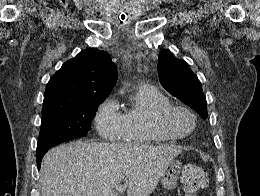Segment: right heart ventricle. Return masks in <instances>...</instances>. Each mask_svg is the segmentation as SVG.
Listing matches in <instances>:
<instances>
[{
  "label": "right heart ventricle",
  "mask_w": 260,
  "mask_h": 196,
  "mask_svg": "<svg viewBox=\"0 0 260 196\" xmlns=\"http://www.w3.org/2000/svg\"><path fill=\"white\" fill-rule=\"evenodd\" d=\"M170 104L169 98L158 88L138 83L128 94V99L122 111L123 129L135 130L132 138H124L119 143H159L173 140L151 126L154 110H159ZM108 192V190H94Z\"/></svg>",
  "instance_id": "right-heart-ventricle-1"
}]
</instances>
